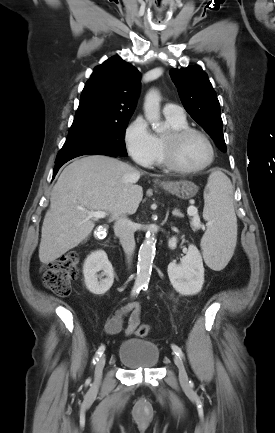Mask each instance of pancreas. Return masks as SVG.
<instances>
[{
  "label": "pancreas",
  "instance_id": "obj_1",
  "mask_svg": "<svg viewBox=\"0 0 275 433\" xmlns=\"http://www.w3.org/2000/svg\"><path fill=\"white\" fill-rule=\"evenodd\" d=\"M191 227L193 230H196L197 228L193 225V223L191 222Z\"/></svg>",
  "mask_w": 275,
  "mask_h": 433
}]
</instances>
